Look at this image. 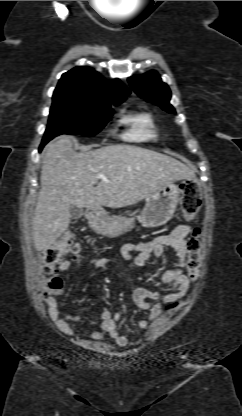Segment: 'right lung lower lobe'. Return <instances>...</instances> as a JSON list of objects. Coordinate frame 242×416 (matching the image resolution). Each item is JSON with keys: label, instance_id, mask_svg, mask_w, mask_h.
I'll return each mask as SVG.
<instances>
[{"label": "right lung lower lobe", "instance_id": "obj_1", "mask_svg": "<svg viewBox=\"0 0 242 416\" xmlns=\"http://www.w3.org/2000/svg\"><path fill=\"white\" fill-rule=\"evenodd\" d=\"M43 146H44V145H43V144H41V146H40V151L42 150Z\"/></svg>", "mask_w": 242, "mask_h": 416}]
</instances>
